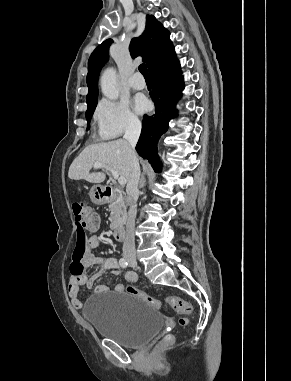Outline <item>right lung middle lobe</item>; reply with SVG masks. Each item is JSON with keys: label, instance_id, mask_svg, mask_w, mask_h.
<instances>
[{"label": "right lung middle lobe", "instance_id": "right-lung-middle-lobe-1", "mask_svg": "<svg viewBox=\"0 0 291 381\" xmlns=\"http://www.w3.org/2000/svg\"><path fill=\"white\" fill-rule=\"evenodd\" d=\"M96 105H97V100L88 105V109L86 111L87 122L90 121V118L92 117V114L95 110Z\"/></svg>", "mask_w": 291, "mask_h": 381}]
</instances>
